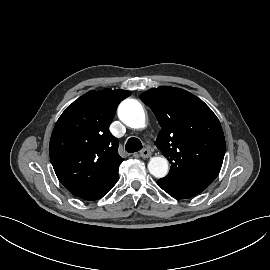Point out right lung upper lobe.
<instances>
[{
    "label": "right lung upper lobe",
    "mask_w": 270,
    "mask_h": 270,
    "mask_svg": "<svg viewBox=\"0 0 270 270\" xmlns=\"http://www.w3.org/2000/svg\"><path fill=\"white\" fill-rule=\"evenodd\" d=\"M130 94L125 90H91L59 117L49 154L59 181L74 196L97 191L118 178L124 159L108 128L118 104Z\"/></svg>",
    "instance_id": "cb5924a9"
}]
</instances>
